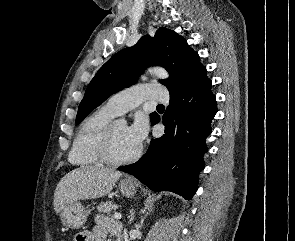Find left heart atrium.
I'll return each mask as SVG.
<instances>
[{
  "instance_id": "1",
  "label": "left heart atrium",
  "mask_w": 295,
  "mask_h": 241,
  "mask_svg": "<svg viewBox=\"0 0 295 241\" xmlns=\"http://www.w3.org/2000/svg\"><path fill=\"white\" fill-rule=\"evenodd\" d=\"M148 133V125L145 119L137 118L128 127V134L131 140L138 146L142 144Z\"/></svg>"
}]
</instances>
